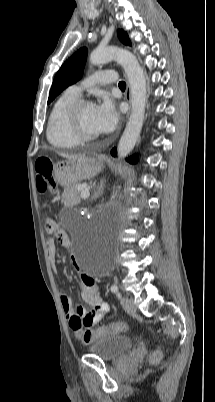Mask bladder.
<instances>
[{
    "mask_svg": "<svg viewBox=\"0 0 215 402\" xmlns=\"http://www.w3.org/2000/svg\"><path fill=\"white\" fill-rule=\"evenodd\" d=\"M133 346L132 340L123 335H107L94 340L89 352L103 360L117 359Z\"/></svg>",
    "mask_w": 215,
    "mask_h": 402,
    "instance_id": "obj_1",
    "label": "bladder"
}]
</instances>
